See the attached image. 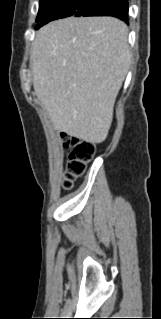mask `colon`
Listing matches in <instances>:
<instances>
[{
  "instance_id": "obj_1",
  "label": "colon",
  "mask_w": 161,
  "mask_h": 319,
  "mask_svg": "<svg viewBox=\"0 0 161 319\" xmlns=\"http://www.w3.org/2000/svg\"><path fill=\"white\" fill-rule=\"evenodd\" d=\"M62 140L64 146L70 149L64 174V187L71 188L83 175L87 163L94 157L95 145L68 135L63 136Z\"/></svg>"
}]
</instances>
